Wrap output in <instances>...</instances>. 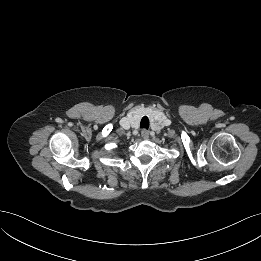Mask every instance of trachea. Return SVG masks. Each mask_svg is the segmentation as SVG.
Returning a JSON list of instances; mask_svg holds the SVG:
<instances>
[{
  "instance_id": "obj_1",
  "label": "trachea",
  "mask_w": 261,
  "mask_h": 261,
  "mask_svg": "<svg viewBox=\"0 0 261 261\" xmlns=\"http://www.w3.org/2000/svg\"><path fill=\"white\" fill-rule=\"evenodd\" d=\"M140 127H141V128H145V129H148V128H149V119H148L147 116H144V117L141 119Z\"/></svg>"
}]
</instances>
